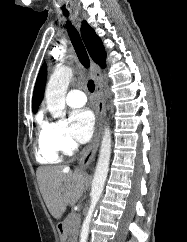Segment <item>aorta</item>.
Instances as JSON below:
<instances>
[{
	"mask_svg": "<svg viewBox=\"0 0 187 242\" xmlns=\"http://www.w3.org/2000/svg\"><path fill=\"white\" fill-rule=\"evenodd\" d=\"M72 76V68L68 66H58L49 79L45 91V98L47 108L54 118H63L65 116V95ZM110 155L111 131L110 128L106 126L104 128L99 157L92 181L91 204L82 227L81 242H87L89 225L92 220L97 202L99 201L103 192L105 181L108 175Z\"/></svg>",
	"mask_w": 187,
	"mask_h": 242,
	"instance_id": "obj_1",
	"label": "aorta"
}]
</instances>
